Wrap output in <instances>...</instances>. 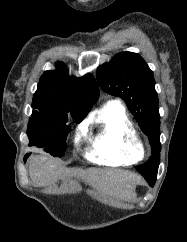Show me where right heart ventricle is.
<instances>
[{"label": "right heart ventricle", "instance_id": "obj_1", "mask_svg": "<svg viewBox=\"0 0 187 242\" xmlns=\"http://www.w3.org/2000/svg\"><path fill=\"white\" fill-rule=\"evenodd\" d=\"M92 131L86 158L106 166H126L142 159L134 146L139 136L125 110L117 102H108L91 119Z\"/></svg>", "mask_w": 187, "mask_h": 242}]
</instances>
